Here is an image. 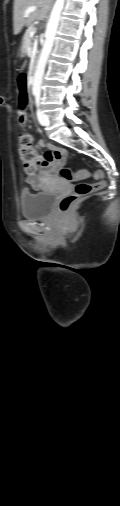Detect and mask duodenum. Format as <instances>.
Segmentation results:
<instances>
[{"instance_id":"duodenum-1","label":"duodenum","mask_w":120,"mask_h":506,"mask_svg":"<svg viewBox=\"0 0 120 506\" xmlns=\"http://www.w3.org/2000/svg\"><path fill=\"white\" fill-rule=\"evenodd\" d=\"M37 67H38V59L36 58L34 60V63H33V69H32V78L34 79L35 78V74H36V71H37Z\"/></svg>"}]
</instances>
